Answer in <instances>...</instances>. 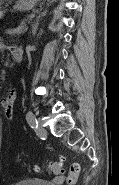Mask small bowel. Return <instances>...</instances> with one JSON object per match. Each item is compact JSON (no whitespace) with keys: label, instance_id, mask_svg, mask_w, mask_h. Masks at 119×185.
<instances>
[{"label":"small bowel","instance_id":"small-bowel-1","mask_svg":"<svg viewBox=\"0 0 119 185\" xmlns=\"http://www.w3.org/2000/svg\"><path fill=\"white\" fill-rule=\"evenodd\" d=\"M9 48L12 51L13 47H7L6 45L2 44L1 49ZM16 100V92L15 90H10L8 95L1 99V106L4 109V114L6 118L11 119L13 117L14 111V104ZM64 180L63 176L57 177L56 182L60 183Z\"/></svg>","mask_w":119,"mask_h":185}]
</instances>
